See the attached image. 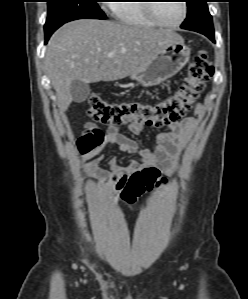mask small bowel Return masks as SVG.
Instances as JSON below:
<instances>
[{"label":"small bowel","mask_w":248,"mask_h":299,"mask_svg":"<svg viewBox=\"0 0 248 299\" xmlns=\"http://www.w3.org/2000/svg\"><path fill=\"white\" fill-rule=\"evenodd\" d=\"M148 125L142 122H133L130 132L140 136ZM167 131L157 136L152 148H140L130 136L121 133L117 127L106 129L88 124L79 142L82 153L81 162H86L87 172L90 177L96 178L97 183H89L88 188L98 197L107 194H120V184L139 165L132 161L127 166L121 167L114 160L110 161L109 169L99 167L103 160L102 152L107 146H114L120 152L133 154L141 159L142 164L157 167L164 174H174L178 168V158L182 149L193 133L195 118L187 117L179 122L166 124Z\"/></svg>","instance_id":"obj_1"}]
</instances>
